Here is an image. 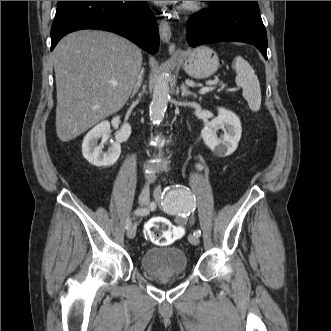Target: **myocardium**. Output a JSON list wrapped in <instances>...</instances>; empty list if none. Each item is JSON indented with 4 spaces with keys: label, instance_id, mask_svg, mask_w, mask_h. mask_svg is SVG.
<instances>
[{
    "label": "myocardium",
    "instance_id": "obj_1",
    "mask_svg": "<svg viewBox=\"0 0 331 331\" xmlns=\"http://www.w3.org/2000/svg\"><path fill=\"white\" fill-rule=\"evenodd\" d=\"M197 8V1H185L183 5L184 10H194Z\"/></svg>",
    "mask_w": 331,
    "mask_h": 331
}]
</instances>
